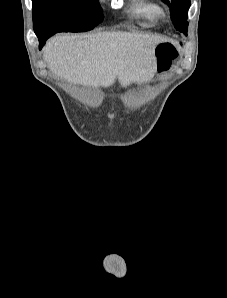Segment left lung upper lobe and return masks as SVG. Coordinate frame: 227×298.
I'll return each instance as SVG.
<instances>
[{"instance_id":"1","label":"left lung upper lobe","mask_w":227,"mask_h":298,"mask_svg":"<svg viewBox=\"0 0 227 298\" xmlns=\"http://www.w3.org/2000/svg\"><path fill=\"white\" fill-rule=\"evenodd\" d=\"M168 4L170 8L171 18L176 30L187 35L188 10L190 8V0H162Z\"/></svg>"}]
</instances>
